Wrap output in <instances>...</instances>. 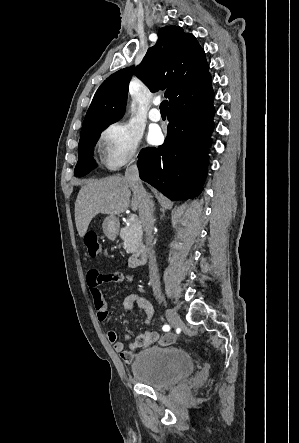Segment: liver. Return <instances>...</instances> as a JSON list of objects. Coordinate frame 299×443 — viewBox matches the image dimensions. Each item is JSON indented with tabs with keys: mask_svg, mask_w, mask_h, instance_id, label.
Segmentation results:
<instances>
[{
	"mask_svg": "<svg viewBox=\"0 0 299 443\" xmlns=\"http://www.w3.org/2000/svg\"><path fill=\"white\" fill-rule=\"evenodd\" d=\"M129 181L119 175L100 180H89L80 189L75 202V222L80 237H84L91 220L98 214L120 215L130 206L139 208V201L133 194Z\"/></svg>",
	"mask_w": 299,
	"mask_h": 443,
	"instance_id": "6515ba94",
	"label": "liver"
}]
</instances>
